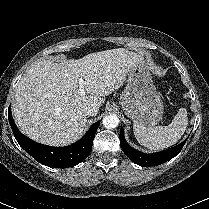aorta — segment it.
I'll list each match as a JSON object with an SVG mask.
<instances>
[{"label": "aorta", "instance_id": "aorta-1", "mask_svg": "<svg viewBox=\"0 0 209 209\" xmlns=\"http://www.w3.org/2000/svg\"><path fill=\"white\" fill-rule=\"evenodd\" d=\"M103 125L107 129H114L119 125V118L116 114H109L103 118Z\"/></svg>", "mask_w": 209, "mask_h": 209}]
</instances>
